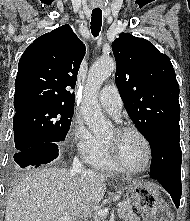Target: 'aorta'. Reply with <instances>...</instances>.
Wrapping results in <instances>:
<instances>
[{"label":"aorta","mask_w":190,"mask_h":221,"mask_svg":"<svg viewBox=\"0 0 190 221\" xmlns=\"http://www.w3.org/2000/svg\"><path fill=\"white\" fill-rule=\"evenodd\" d=\"M115 69V61L112 58H107L95 62L88 73L81 113L89 130L95 135L105 134L111 126L110 122L104 117L98 103V92L103 82Z\"/></svg>","instance_id":"obj_1"}]
</instances>
